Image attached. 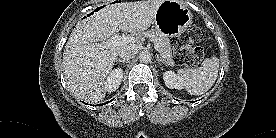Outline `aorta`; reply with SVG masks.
Instances as JSON below:
<instances>
[{
    "mask_svg": "<svg viewBox=\"0 0 276 138\" xmlns=\"http://www.w3.org/2000/svg\"><path fill=\"white\" fill-rule=\"evenodd\" d=\"M152 59L151 53L149 51H142L139 54V60L142 63H149Z\"/></svg>",
    "mask_w": 276,
    "mask_h": 138,
    "instance_id": "aorta-1",
    "label": "aorta"
}]
</instances>
